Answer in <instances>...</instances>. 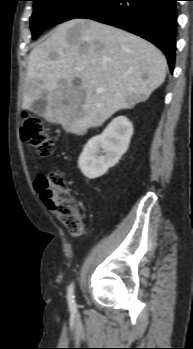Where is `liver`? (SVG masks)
Returning a JSON list of instances; mask_svg holds the SVG:
<instances>
[{
    "instance_id": "obj_1",
    "label": "liver",
    "mask_w": 193,
    "mask_h": 349,
    "mask_svg": "<svg viewBox=\"0 0 193 349\" xmlns=\"http://www.w3.org/2000/svg\"><path fill=\"white\" fill-rule=\"evenodd\" d=\"M166 70L165 56L148 41L96 21L73 19L30 52L22 108L44 97L47 122L84 135L117 111L146 101L164 82Z\"/></svg>"
}]
</instances>
